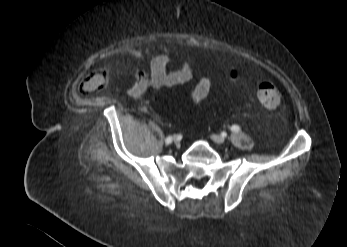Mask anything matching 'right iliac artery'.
Here are the masks:
<instances>
[{
	"mask_svg": "<svg viewBox=\"0 0 347 247\" xmlns=\"http://www.w3.org/2000/svg\"><path fill=\"white\" fill-rule=\"evenodd\" d=\"M165 142L166 144H170L172 142V136H168L166 139H165Z\"/></svg>",
	"mask_w": 347,
	"mask_h": 247,
	"instance_id": "1",
	"label": "right iliac artery"
}]
</instances>
